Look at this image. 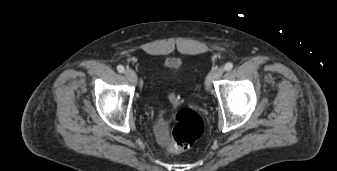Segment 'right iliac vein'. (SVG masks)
<instances>
[{
	"instance_id": "1",
	"label": "right iliac vein",
	"mask_w": 337,
	"mask_h": 171,
	"mask_svg": "<svg viewBox=\"0 0 337 171\" xmlns=\"http://www.w3.org/2000/svg\"><path fill=\"white\" fill-rule=\"evenodd\" d=\"M124 74L129 82L133 84L137 82V75L132 69H127Z\"/></svg>"
}]
</instances>
